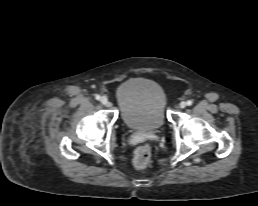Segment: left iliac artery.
<instances>
[{"label":"left iliac artery","instance_id":"44dca946","mask_svg":"<svg viewBox=\"0 0 258 206\" xmlns=\"http://www.w3.org/2000/svg\"><path fill=\"white\" fill-rule=\"evenodd\" d=\"M192 103H193V102H192L191 100H188V101H187V105H188V106H191Z\"/></svg>","mask_w":258,"mask_h":206}]
</instances>
